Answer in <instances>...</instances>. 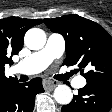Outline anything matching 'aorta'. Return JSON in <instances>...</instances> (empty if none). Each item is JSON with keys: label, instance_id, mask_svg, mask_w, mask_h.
I'll use <instances>...</instances> for the list:
<instances>
[{"label": "aorta", "instance_id": "aorta-1", "mask_svg": "<svg viewBox=\"0 0 112 112\" xmlns=\"http://www.w3.org/2000/svg\"><path fill=\"white\" fill-rule=\"evenodd\" d=\"M24 42L29 49H42L46 43V34L39 28H31L26 32ZM53 96L55 101L62 105L69 104L73 98L70 87L65 84L58 85L54 90Z\"/></svg>", "mask_w": 112, "mask_h": 112}]
</instances>
